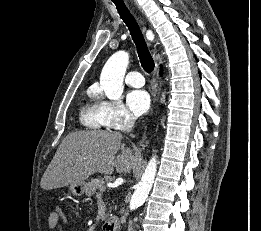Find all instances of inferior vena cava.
Returning a JSON list of instances; mask_svg holds the SVG:
<instances>
[{
    "label": "inferior vena cava",
    "instance_id": "1",
    "mask_svg": "<svg viewBox=\"0 0 261 231\" xmlns=\"http://www.w3.org/2000/svg\"><path fill=\"white\" fill-rule=\"evenodd\" d=\"M134 122H135V119H134L132 116H129V117L126 119L125 132H127V133L131 132V130H132L133 127H134Z\"/></svg>",
    "mask_w": 261,
    "mask_h": 231
}]
</instances>
